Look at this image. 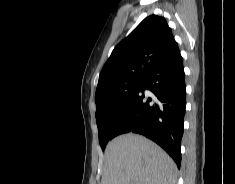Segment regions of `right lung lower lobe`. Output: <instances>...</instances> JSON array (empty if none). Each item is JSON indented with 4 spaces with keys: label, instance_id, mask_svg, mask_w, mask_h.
<instances>
[{
    "label": "right lung lower lobe",
    "instance_id": "obj_1",
    "mask_svg": "<svg viewBox=\"0 0 235 184\" xmlns=\"http://www.w3.org/2000/svg\"><path fill=\"white\" fill-rule=\"evenodd\" d=\"M183 59L178 50L155 66L143 79L115 128L116 136L142 134L160 145L181 164V139L186 106ZM149 90L153 96L144 93Z\"/></svg>",
    "mask_w": 235,
    "mask_h": 184
}]
</instances>
